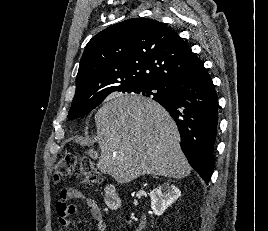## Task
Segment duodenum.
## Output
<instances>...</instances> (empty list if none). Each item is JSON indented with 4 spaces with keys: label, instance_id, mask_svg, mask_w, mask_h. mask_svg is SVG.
<instances>
[{
    "label": "duodenum",
    "instance_id": "410a0bca",
    "mask_svg": "<svg viewBox=\"0 0 268 231\" xmlns=\"http://www.w3.org/2000/svg\"><path fill=\"white\" fill-rule=\"evenodd\" d=\"M106 204L111 209H117L120 205V198L113 192H108L106 195Z\"/></svg>",
    "mask_w": 268,
    "mask_h": 231
}]
</instances>
